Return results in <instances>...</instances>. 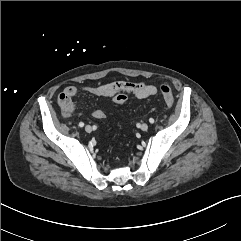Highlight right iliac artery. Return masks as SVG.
Here are the masks:
<instances>
[{
	"instance_id": "82829eb1",
	"label": "right iliac artery",
	"mask_w": 241,
	"mask_h": 241,
	"mask_svg": "<svg viewBox=\"0 0 241 241\" xmlns=\"http://www.w3.org/2000/svg\"><path fill=\"white\" fill-rule=\"evenodd\" d=\"M79 126H80V127H83V126H84V123H83V122H80V123H79Z\"/></svg>"
}]
</instances>
